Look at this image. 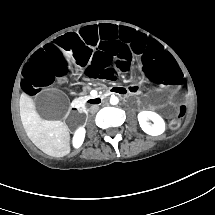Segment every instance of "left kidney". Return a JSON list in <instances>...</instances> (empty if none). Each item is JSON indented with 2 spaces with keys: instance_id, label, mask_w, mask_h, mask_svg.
Wrapping results in <instances>:
<instances>
[{
  "instance_id": "left-kidney-1",
  "label": "left kidney",
  "mask_w": 215,
  "mask_h": 215,
  "mask_svg": "<svg viewBox=\"0 0 215 215\" xmlns=\"http://www.w3.org/2000/svg\"><path fill=\"white\" fill-rule=\"evenodd\" d=\"M151 120L153 124H149ZM141 129L152 136L161 135L165 131V122L160 115L152 111H142L138 114Z\"/></svg>"
}]
</instances>
